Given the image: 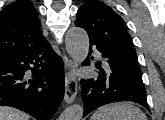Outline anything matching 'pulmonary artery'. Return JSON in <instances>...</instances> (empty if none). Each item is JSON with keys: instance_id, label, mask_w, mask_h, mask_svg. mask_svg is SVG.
I'll return each instance as SVG.
<instances>
[{"instance_id": "1", "label": "pulmonary artery", "mask_w": 165, "mask_h": 120, "mask_svg": "<svg viewBox=\"0 0 165 120\" xmlns=\"http://www.w3.org/2000/svg\"><path fill=\"white\" fill-rule=\"evenodd\" d=\"M96 55H97L98 57H100V54H99V53H97V52H96Z\"/></svg>"}]
</instances>
